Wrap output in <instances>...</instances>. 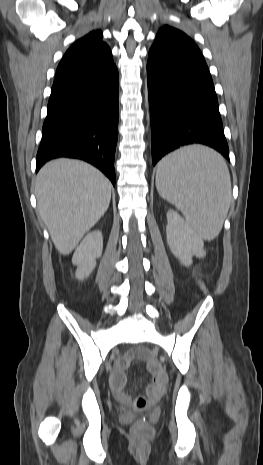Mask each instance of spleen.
<instances>
[{
	"instance_id": "spleen-1",
	"label": "spleen",
	"mask_w": 263,
	"mask_h": 465,
	"mask_svg": "<svg viewBox=\"0 0 263 465\" xmlns=\"http://www.w3.org/2000/svg\"><path fill=\"white\" fill-rule=\"evenodd\" d=\"M156 187L200 238L218 236L231 201L230 174L220 154L203 146L170 153L158 163Z\"/></svg>"
}]
</instances>
